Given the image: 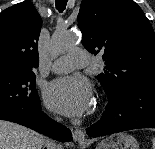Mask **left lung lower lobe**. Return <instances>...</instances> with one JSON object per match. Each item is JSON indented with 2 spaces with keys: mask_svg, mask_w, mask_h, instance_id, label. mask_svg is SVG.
Here are the masks:
<instances>
[{
  "mask_svg": "<svg viewBox=\"0 0 155 149\" xmlns=\"http://www.w3.org/2000/svg\"><path fill=\"white\" fill-rule=\"evenodd\" d=\"M102 118L86 129L90 137L138 128H155V79L129 84L108 95Z\"/></svg>",
  "mask_w": 155,
  "mask_h": 149,
  "instance_id": "left-lung-lower-lobe-1",
  "label": "left lung lower lobe"
}]
</instances>
